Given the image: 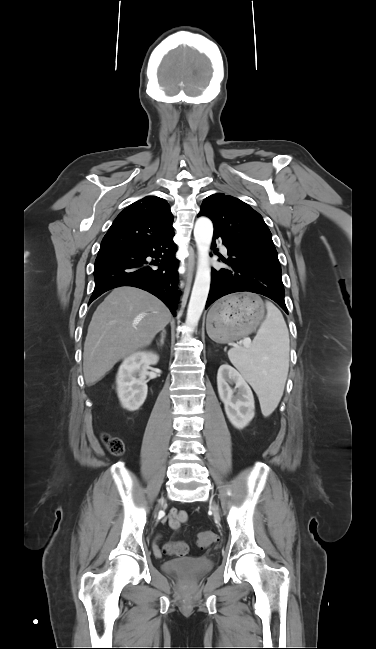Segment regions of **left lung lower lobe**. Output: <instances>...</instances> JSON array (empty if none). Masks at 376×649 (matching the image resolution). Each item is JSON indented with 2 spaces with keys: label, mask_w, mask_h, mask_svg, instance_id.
I'll use <instances>...</instances> for the list:
<instances>
[{
  "label": "left lung lower lobe",
  "mask_w": 376,
  "mask_h": 649,
  "mask_svg": "<svg viewBox=\"0 0 376 649\" xmlns=\"http://www.w3.org/2000/svg\"><path fill=\"white\" fill-rule=\"evenodd\" d=\"M216 238H221L227 248L229 257H221V260L229 268L212 269L211 287L205 308L225 295L249 291L272 299L288 314L280 263L231 241L227 236L214 233L213 241ZM215 246L213 242L212 247Z\"/></svg>",
  "instance_id": "1"
}]
</instances>
